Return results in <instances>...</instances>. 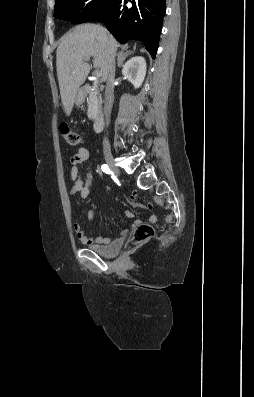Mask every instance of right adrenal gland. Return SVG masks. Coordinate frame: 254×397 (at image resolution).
I'll return each instance as SVG.
<instances>
[{"instance_id":"2a0ac1e0","label":"right adrenal gland","mask_w":254,"mask_h":397,"mask_svg":"<svg viewBox=\"0 0 254 397\" xmlns=\"http://www.w3.org/2000/svg\"><path fill=\"white\" fill-rule=\"evenodd\" d=\"M131 53H132V52H127V55H130ZM124 59H125V57H123L122 54L118 55V60H117V62H118V67H121V66H122V63H123Z\"/></svg>"}]
</instances>
